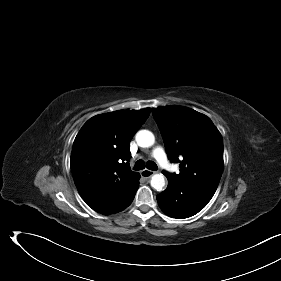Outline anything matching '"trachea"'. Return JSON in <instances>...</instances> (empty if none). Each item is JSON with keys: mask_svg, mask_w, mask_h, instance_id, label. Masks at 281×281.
<instances>
[{"mask_svg": "<svg viewBox=\"0 0 281 281\" xmlns=\"http://www.w3.org/2000/svg\"><path fill=\"white\" fill-rule=\"evenodd\" d=\"M145 167H147V169L153 170V171L158 169L156 163L153 161H148L147 164L145 165V162L143 160H138L135 163L134 170H142Z\"/></svg>", "mask_w": 281, "mask_h": 281, "instance_id": "trachea-1", "label": "trachea"}]
</instances>
